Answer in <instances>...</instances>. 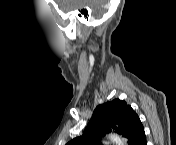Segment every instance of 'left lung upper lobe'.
<instances>
[{
	"label": "left lung upper lobe",
	"mask_w": 176,
	"mask_h": 145,
	"mask_svg": "<svg viewBox=\"0 0 176 145\" xmlns=\"http://www.w3.org/2000/svg\"><path fill=\"white\" fill-rule=\"evenodd\" d=\"M111 130L126 137L129 145H135L144 133L143 125L131 106L123 100L114 99L98 105L83 135L74 138L67 145L99 144V139Z\"/></svg>",
	"instance_id": "obj_1"
}]
</instances>
